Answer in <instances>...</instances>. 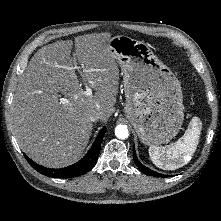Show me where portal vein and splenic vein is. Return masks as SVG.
I'll use <instances>...</instances> for the list:
<instances>
[{"label":"portal vein and splenic vein","instance_id":"1","mask_svg":"<svg viewBox=\"0 0 221 221\" xmlns=\"http://www.w3.org/2000/svg\"><path fill=\"white\" fill-rule=\"evenodd\" d=\"M75 69L79 70L78 66H74ZM82 76V75H81ZM83 81L86 82V80L84 79V77L82 76ZM82 95H86V96H90L92 95V89L85 83V90L81 92ZM60 103L62 104H67L69 103L68 99L66 98H60L59 99Z\"/></svg>","mask_w":221,"mask_h":221}]
</instances>
